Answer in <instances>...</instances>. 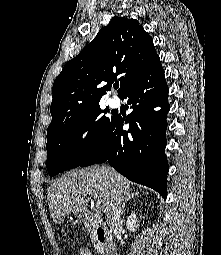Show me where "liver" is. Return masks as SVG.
<instances>
[{
	"label": "liver",
	"mask_w": 221,
	"mask_h": 255,
	"mask_svg": "<svg viewBox=\"0 0 221 255\" xmlns=\"http://www.w3.org/2000/svg\"><path fill=\"white\" fill-rule=\"evenodd\" d=\"M130 181L109 166L76 169L56 179L48 188L51 217L61 224L69 213L77 214L87 207L90 195L96 194L102 208L109 212L113 197L126 194Z\"/></svg>",
	"instance_id": "1"
}]
</instances>
